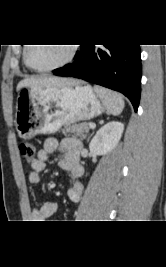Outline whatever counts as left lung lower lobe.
Wrapping results in <instances>:
<instances>
[{"mask_svg": "<svg viewBox=\"0 0 166 267\" xmlns=\"http://www.w3.org/2000/svg\"><path fill=\"white\" fill-rule=\"evenodd\" d=\"M139 45H82L72 64L55 69L57 76H72L123 93L137 111L141 92Z\"/></svg>", "mask_w": 166, "mask_h": 267, "instance_id": "left-lung-lower-lobe-1", "label": "left lung lower lobe"}]
</instances>
